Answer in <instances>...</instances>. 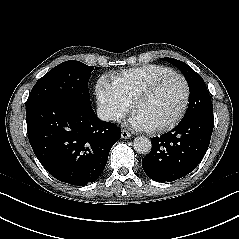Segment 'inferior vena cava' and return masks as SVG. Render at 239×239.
Instances as JSON below:
<instances>
[{
	"instance_id": "obj_1",
	"label": "inferior vena cava",
	"mask_w": 239,
	"mask_h": 239,
	"mask_svg": "<svg viewBox=\"0 0 239 239\" xmlns=\"http://www.w3.org/2000/svg\"><path fill=\"white\" fill-rule=\"evenodd\" d=\"M97 116L103 121H112L116 120L115 113L110 110L108 107L100 106L97 109Z\"/></svg>"
}]
</instances>
